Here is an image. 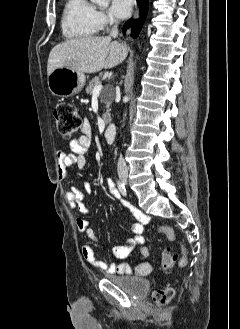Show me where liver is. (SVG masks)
Returning <instances> with one entry per match:
<instances>
[{
	"label": "liver",
	"mask_w": 240,
	"mask_h": 329,
	"mask_svg": "<svg viewBox=\"0 0 240 329\" xmlns=\"http://www.w3.org/2000/svg\"><path fill=\"white\" fill-rule=\"evenodd\" d=\"M126 49L110 37H83L56 45L47 63L49 75L57 67H68L82 73L110 69L126 58Z\"/></svg>",
	"instance_id": "1"
}]
</instances>
